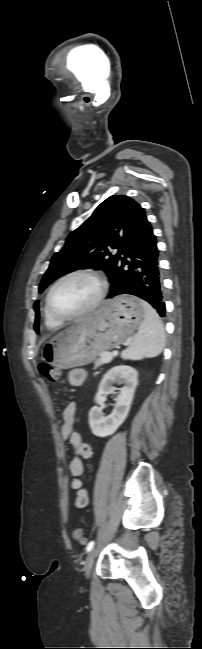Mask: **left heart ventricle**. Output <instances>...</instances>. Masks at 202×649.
I'll use <instances>...</instances> for the list:
<instances>
[{"label": "left heart ventricle", "mask_w": 202, "mask_h": 649, "mask_svg": "<svg viewBox=\"0 0 202 649\" xmlns=\"http://www.w3.org/2000/svg\"><path fill=\"white\" fill-rule=\"evenodd\" d=\"M97 293L98 285L92 278L77 275L64 280L56 287L51 304L57 313L68 316L87 307Z\"/></svg>", "instance_id": "1"}]
</instances>
